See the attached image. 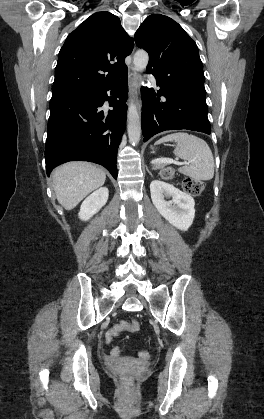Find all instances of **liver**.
<instances>
[{"label":"liver","mask_w":264,"mask_h":419,"mask_svg":"<svg viewBox=\"0 0 264 419\" xmlns=\"http://www.w3.org/2000/svg\"><path fill=\"white\" fill-rule=\"evenodd\" d=\"M105 180V172L89 162H68L53 172L57 200L66 210L75 208L88 194L101 187Z\"/></svg>","instance_id":"liver-1"}]
</instances>
